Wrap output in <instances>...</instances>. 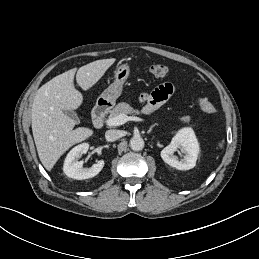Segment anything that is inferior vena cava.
<instances>
[{"instance_id": "obj_1", "label": "inferior vena cava", "mask_w": 259, "mask_h": 259, "mask_svg": "<svg viewBox=\"0 0 259 259\" xmlns=\"http://www.w3.org/2000/svg\"><path fill=\"white\" fill-rule=\"evenodd\" d=\"M121 137L119 130L111 129L105 132V138L107 141H115Z\"/></svg>"}]
</instances>
